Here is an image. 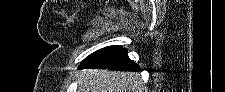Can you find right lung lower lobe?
Here are the masks:
<instances>
[{"mask_svg":"<svg viewBox=\"0 0 225 92\" xmlns=\"http://www.w3.org/2000/svg\"><path fill=\"white\" fill-rule=\"evenodd\" d=\"M85 68L141 71L139 66L129 59L126 49L122 48L90 63Z\"/></svg>","mask_w":225,"mask_h":92,"instance_id":"obj_1","label":"right lung lower lobe"}]
</instances>
